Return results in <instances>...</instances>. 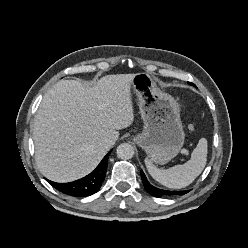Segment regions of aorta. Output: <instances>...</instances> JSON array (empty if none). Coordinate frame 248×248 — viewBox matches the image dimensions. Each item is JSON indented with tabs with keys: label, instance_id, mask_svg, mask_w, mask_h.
<instances>
[{
	"label": "aorta",
	"instance_id": "762f6f07",
	"mask_svg": "<svg viewBox=\"0 0 248 248\" xmlns=\"http://www.w3.org/2000/svg\"><path fill=\"white\" fill-rule=\"evenodd\" d=\"M117 156L121 159H131L134 156V148L128 143H122L117 147Z\"/></svg>",
	"mask_w": 248,
	"mask_h": 248
}]
</instances>
